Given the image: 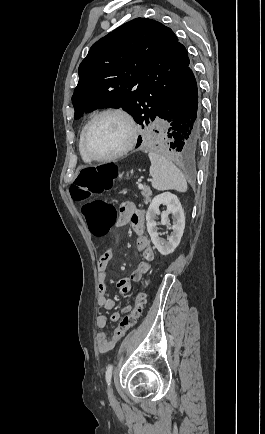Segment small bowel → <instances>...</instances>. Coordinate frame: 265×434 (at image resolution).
Returning <instances> with one entry per match:
<instances>
[{
  "mask_svg": "<svg viewBox=\"0 0 265 434\" xmlns=\"http://www.w3.org/2000/svg\"><path fill=\"white\" fill-rule=\"evenodd\" d=\"M126 225H130L136 234V247L141 255L137 267L131 274V278H120L116 282V286L119 292L123 295H127L131 291V281H139L150 270V262L155 257V252L150 244V240L144 233L145 214L142 210L138 209L132 202H124L120 206L119 218L117 221V227L121 228ZM113 258V250L107 248L103 251L97 261V302L100 308L105 310H112L115 307V302L108 296V281H107V268ZM133 310L132 306L124 305L121 308V312H112L110 314V320L117 322L121 318V313H130ZM96 324L100 331L96 334L97 345L99 351L102 353L112 350L108 347V337L104 332L107 325V317L105 315H98L96 318ZM117 329V328H116ZM115 329V330H116ZM116 346V345H115Z\"/></svg>",
  "mask_w": 265,
  "mask_h": 434,
  "instance_id": "c3829d8e",
  "label": "small bowel"
}]
</instances>
